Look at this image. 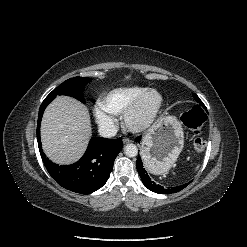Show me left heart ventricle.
Here are the masks:
<instances>
[{
	"instance_id": "1",
	"label": "left heart ventricle",
	"mask_w": 247,
	"mask_h": 247,
	"mask_svg": "<svg viewBox=\"0 0 247 247\" xmlns=\"http://www.w3.org/2000/svg\"><path fill=\"white\" fill-rule=\"evenodd\" d=\"M157 103L158 97L155 94L147 95L133 114L132 121L138 124L148 119L154 112Z\"/></svg>"
}]
</instances>
